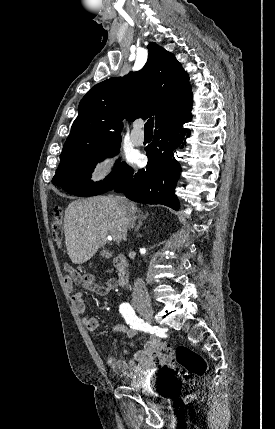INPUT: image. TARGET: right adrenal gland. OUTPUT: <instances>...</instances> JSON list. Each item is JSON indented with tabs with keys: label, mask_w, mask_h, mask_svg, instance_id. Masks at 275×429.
<instances>
[{
	"label": "right adrenal gland",
	"mask_w": 275,
	"mask_h": 429,
	"mask_svg": "<svg viewBox=\"0 0 275 429\" xmlns=\"http://www.w3.org/2000/svg\"><path fill=\"white\" fill-rule=\"evenodd\" d=\"M148 212L146 213V214H143V212L141 211V210H139L138 211V218H139V222H138V225H137V227L135 228V231L138 233L139 232V229H140V227L142 226V222H143V220H146L147 219V217H148ZM138 236H140V234L138 233Z\"/></svg>",
	"instance_id": "right-adrenal-gland-1"
}]
</instances>
